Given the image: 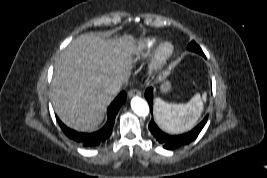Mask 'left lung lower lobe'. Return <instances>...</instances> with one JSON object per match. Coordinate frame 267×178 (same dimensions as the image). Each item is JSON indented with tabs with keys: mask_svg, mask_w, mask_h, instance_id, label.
<instances>
[{
	"mask_svg": "<svg viewBox=\"0 0 267 178\" xmlns=\"http://www.w3.org/2000/svg\"><path fill=\"white\" fill-rule=\"evenodd\" d=\"M145 97L149 102L150 110L152 112V102H153V90L149 88L145 92ZM208 116H206L194 129L191 131L181 134V135H169L158 128L152 119L148 125V129L152 136L165 148L168 150L176 149L185 146L192 142L201 132L203 127L207 122Z\"/></svg>",
	"mask_w": 267,
	"mask_h": 178,
	"instance_id": "obj_1",
	"label": "left lung lower lobe"
}]
</instances>
